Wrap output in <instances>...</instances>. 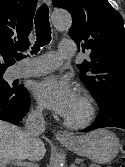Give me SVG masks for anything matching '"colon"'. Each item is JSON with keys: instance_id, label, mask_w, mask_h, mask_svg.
Instances as JSON below:
<instances>
[{"instance_id": "colon-1", "label": "colon", "mask_w": 125, "mask_h": 167, "mask_svg": "<svg viewBox=\"0 0 125 167\" xmlns=\"http://www.w3.org/2000/svg\"><path fill=\"white\" fill-rule=\"evenodd\" d=\"M121 153H122L123 164L120 167H125V142L123 143L121 147Z\"/></svg>"}]
</instances>
